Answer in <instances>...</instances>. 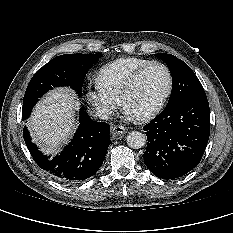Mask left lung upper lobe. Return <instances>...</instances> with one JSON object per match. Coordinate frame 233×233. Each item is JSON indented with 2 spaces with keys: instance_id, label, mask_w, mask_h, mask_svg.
Returning <instances> with one entry per match:
<instances>
[{
  "instance_id": "5c2ea615",
  "label": "left lung upper lobe",
  "mask_w": 233,
  "mask_h": 233,
  "mask_svg": "<svg viewBox=\"0 0 233 233\" xmlns=\"http://www.w3.org/2000/svg\"><path fill=\"white\" fill-rule=\"evenodd\" d=\"M170 69L173 88L167 105L189 98L206 99L205 91L192 69L174 55L157 53Z\"/></svg>"
}]
</instances>
